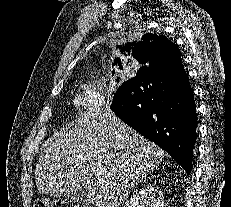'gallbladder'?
<instances>
[{
    "mask_svg": "<svg viewBox=\"0 0 231 207\" xmlns=\"http://www.w3.org/2000/svg\"><path fill=\"white\" fill-rule=\"evenodd\" d=\"M70 202L83 207H90V202L87 197V194L83 191H77L69 196Z\"/></svg>",
    "mask_w": 231,
    "mask_h": 207,
    "instance_id": "gallbladder-1",
    "label": "gallbladder"
}]
</instances>
